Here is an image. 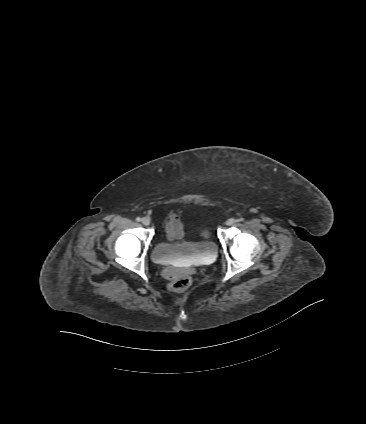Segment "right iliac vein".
<instances>
[{"mask_svg": "<svg viewBox=\"0 0 366 424\" xmlns=\"http://www.w3.org/2000/svg\"><path fill=\"white\" fill-rule=\"evenodd\" d=\"M142 224L145 225V226H148L150 224V219L147 218V217H144L142 219Z\"/></svg>", "mask_w": 366, "mask_h": 424, "instance_id": "obj_1", "label": "right iliac vein"}]
</instances>
